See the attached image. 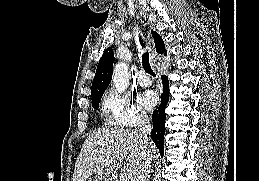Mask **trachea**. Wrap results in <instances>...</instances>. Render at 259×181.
Returning a JSON list of instances; mask_svg holds the SVG:
<instances>
[{
    "label": "trachea",
    "instance_id": "1",
    "mask_svg": "<svg viewBox=\"0 0 259 181\" xmlns=\"http://www.w3.org/2000/svg\"><path fill=\"white\" fill-rule=\"evenodd\" d=\"M139 41H140L141 46H144V43L141 40V38H139ZM142 65H143L144 70L148 74H150L151 76H155V73L153 72L150 62H149V53L148 52H145L142 54Z\"/></svg>",
    "mask_w": 259,
    "mask_h": 181
}]
</instances>
